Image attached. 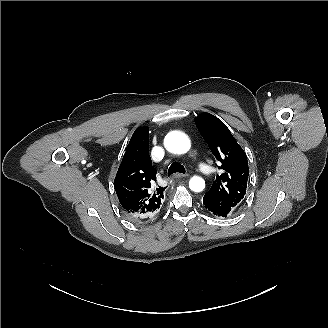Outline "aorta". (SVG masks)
<instances>
[{
  "mask_svg": "<svg viewBox=\"0 0 328 328\" xmlns=\"http://www.w3.org/2000/svg\"><path fill=\"white\" fill-rule=\"evenodd\" d=\"M166 149L175 154L187 153L191 147V143L187 135L180 131H172L168 133L164 139ZM189 187L194 192H201L205 188L203 178L194 176L189 181Z\"/></svg>",
  "mask_w": 328,
  "mask_h": 328,
  "instance_id": "762f6f07",
  "label": "aorta"
}]
</instances>
